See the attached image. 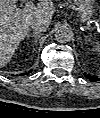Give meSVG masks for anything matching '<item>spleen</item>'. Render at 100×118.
Here are the masks:
<instances>
[{
    "label": "spleen",
    "instance_id": "3e777b00",
    "mask_svg": "<svg viewBox=\"0 0 100 118\" xmlns=\"http://www.w3.org/2000/svg\"><path fill=\"white\" fill-rule=\"evenodd\" d=\"M92 51H93L94 53L98 54V53H99V47H98V46L94 47V48L92 49Z\"/></svg>",
    "mask_w": 100,
    "mask_h": 118
}]
</instances>
